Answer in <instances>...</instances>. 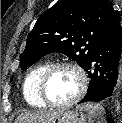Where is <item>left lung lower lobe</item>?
Masks as SVG:
<instances>
[{
	"instance_id": "1",
	"label": "left lung lower lobe",
	"mask_w": 122,
	"mask_h": 123,
	"mask_svg": "<svg viewBox=\"0 0 122 123\" xmlns=\"http://www.w3.org/2000/svg\"><path fill=\"white\" fill-rule=\"evenodd\" d=\"M121 53L122 30L116 18L95 46L84 69L90 77V83L87 94L79 103L111 101L117 98L122 73Z\"/></svg>"
}]
</instances>
